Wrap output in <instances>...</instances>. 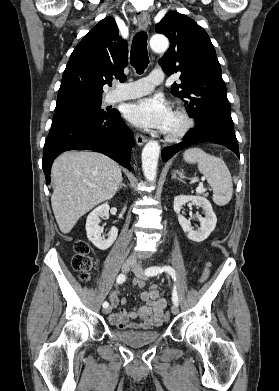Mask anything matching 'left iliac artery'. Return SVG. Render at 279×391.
I'll use <instances>...</instances> for the list:
<instances>
[{
	"label": "left iliac artery",
	"instance_id": "left-iliac-artery-1",
	"mask_svg": "<svg viewBox=\"0 0 279 391\" xmlns=\"http://www.w3.org/2000/svg\"><path fill=\"white\" fill-rule=\"evenodd\" d=\"M164 271L167 272L169 275H171V277L174 279V281L176 280V272H175V270L171 266H163V267L153 266V267H149V268H147L145 270V274L148 275V276H155L157 274H161ZM172 301H173L174 305H178V295H177V291H176V287L175 286L173 288Z\"/></svg>",
	"mask_w": 279,
	"mask_h": 391
}]
</instances>
